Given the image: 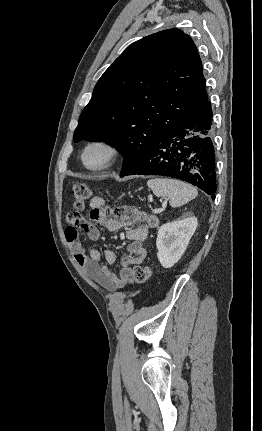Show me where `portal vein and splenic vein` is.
Masks as SVG:
<instances>
[{
    "label": "portal vein and splenic vein",
    "mask_w": 262,
    "mask_h": 431,
    "mask_svg": "<svg viewBox=\"0 0 262 431\" xmlns=\"http://www.w3.org/2000/svg\"><path fill=\"white\" fill-rule=\"evenodd\" d=\"M164 203H166V202H164ZM164 203H163V204H164ZM153 212H154V213H159V212H160V210H159V209H155V210H153Z\"/></svg>",
    "instance_id": "obj_1"
}]
</instances>
